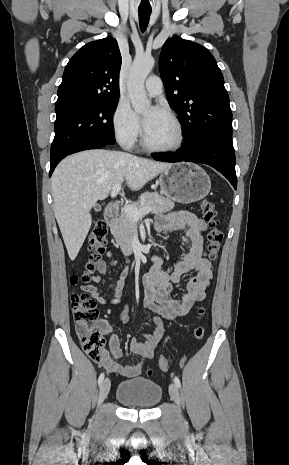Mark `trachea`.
Here are the masks:
<instances>
[{"instance_id": "obj_1", "label": "trachea", "mask_w": 289, "mask_h": 465, "mask_svg": "<svg viewBox=\"0 0 289 465\" xmlns=\"http://www.w3.org/2000/svg\"><path fill=\"white\" fill-rule=\"evenodd\" d=\"M152 10H147V9H139L138 14H139V25L140 29L142 32H144L148 26L149 23V18L151 15Z\"/></svg>"}]
</instances>
